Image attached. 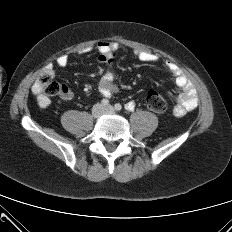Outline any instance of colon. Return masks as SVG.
Listing matches in <instances>:
<instances>
[{
	"instance_id": "colon-1",
	"label": "colon",
	"mask_w": 232,
	"mask_h": 232,
	"mask_svg": "<svg viewBox=\"0 0 232 232\" xmlns=\"http://www.w3.org/2000/svg\"><path fill=\"white\" fill-rule=\"evenodd\" d=\"M38 87L49 96L62 95L65 93L62 84L53 80L50 72H44L37 80ZM146 106L155 113H165L167 111V102L163 96L155 91L148 92L145 98Z\"/></svg>"
}]
</instances>
